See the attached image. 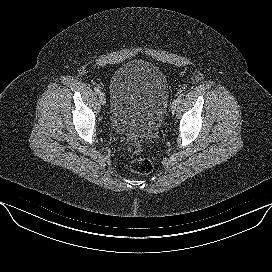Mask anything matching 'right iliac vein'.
Masks as SVG:
<instances>
[{"instance_id": "1", "label": "right iliac vein", "mask_w": 272, "mask_h": 272, "mask_svg": "<svg viewBox=\"0 0 272 272\" xmlns=\"http://www.w3.org/2000/svg\"><path fill=\"white\" fill-rule=\"evenodd\" d=\"M99 100H100V103L102 104V105H105L106 104V96H105V94L102 92V93H100V95H99Z\"/></svg>"}]
</instances>
